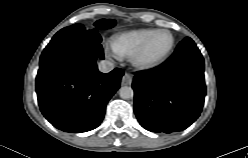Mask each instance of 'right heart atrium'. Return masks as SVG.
<instances>
[{"label":"right heart atrium","mask_w":248,"mask_h":158,"mask_svg":"<svg viewBox=\"0 0 248 158\" xmlns=\"http://www.w3.org/2000/svg\"><path fill=\"white\" fill-rule=\"evenodd\" d=\"M108 52L112 57H116L115 53H113L112 51H108Z\"/></svg>","instance_id":"right-heart-atrium-1"}]
</instances>
